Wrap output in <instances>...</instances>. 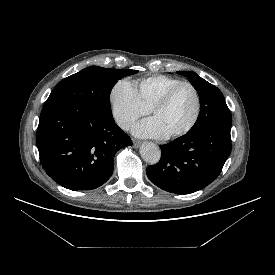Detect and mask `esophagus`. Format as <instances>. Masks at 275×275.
Segmentation results:
<instances>
[{
	"label": "esophagus",
	"mask_w": 275,
	"mask_h": 275,
	"mask_svg": "<svg viewBox=\"0 0 275 275\" xmlns=\"http://www.w3.org/2000/svg\"><path fill=\"white\" fill-rule=\"evenodd\" d=\"M133 145L135 148H138L141 145V142L138 140H133Z\"/></svg>",
	"instance_id": "esophagus-1"
}]
</instances>
